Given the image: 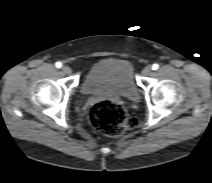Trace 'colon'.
I'll return each mask as SVG.
<instances>
[{
  "label": "colon",
  "instance_id": "5ec220e1",
  "mask_svg": "<svg viewBox=\"0 0 212 183\" xmlns=\"http://www.w3.org/2000/svg\"><path fill=\"white\" fill-rule=\"evenodd\" d=\"M89 120L96 130L110 137L120 136L137 126L136 118L128 115L119 103L111 100L95 102L90 108Z\"/></svg>",
  "mask_w": 212,
  "mask_h": 183
}]
</instances>
